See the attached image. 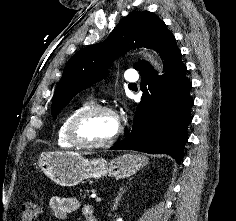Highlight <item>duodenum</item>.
Here are the masks:
<instances>
[{"mask_svg":"<svg viewBox=\"0 0 236 221\" xmlns=\"http://www.w3.org/2000/svg\"><path fill=\"white\" fill-rule=\"evenodd\" d=\"M88 221H98V219L92 215L89 217Z\"/></svg>","mask_w":236,"mask_h":221,"instance_id":"410a0bca","label":"duodenum"}]
</instances>
